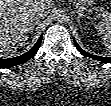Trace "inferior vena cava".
<instances>
[{"mask_svg":"<svg viewBox=\"0 0 111 106\" xmlns=\"http://www.w3.org/2000/svg\"><path fill=\"white\" fill-rule=\"evenodd\" d=\"M48 15V10L46 7H37L33 11V18L35 21H40Z\"/></svg>","mask_w":111,"mask_h":106,"instance_id":"602c4592","label":"inferior vena cava"}]
</instances>
